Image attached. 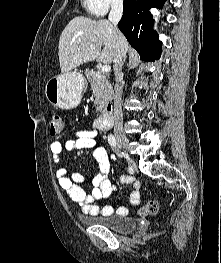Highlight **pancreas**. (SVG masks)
Masks as SVG:
<instances>
[{"label": "pancreas", "instance_id": "pancreas-1", "mask_svg": "<svg viewBox=\"0 0 221 263\" xmlns=\"http://www.w3.org/2000/svg\"><path fill=\"white\" fill-rule=\"evenodd\" d=\"M85 75L90 82L95 97L94 104L96 105V111L102 112L106 104L112 99L111 84L104 74H100L93 69H86Z\"/></svg>", "mask_w": 221, "mask_h": 263}]
</instances>
